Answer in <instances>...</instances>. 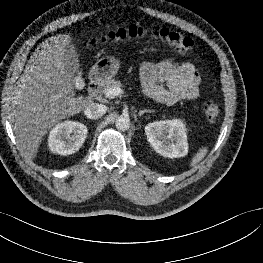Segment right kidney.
<instances>
[{"label": "right kidney", "mask_w": 263, "mask_h": 263, "mask_svg": "<svg viewBox=\"0 0 263 263\" xmlns=\"http://www.w3.org/2000/svg\"><path fill=\"white\" fill-rule=\"evenodd\" d=\"M87 127L79 122L64 121L52 128L48 138L49 149L60 155L77 152L87 137Z\"/></svg>", "instance_id": "right-kidney-1"}]
</instances>
